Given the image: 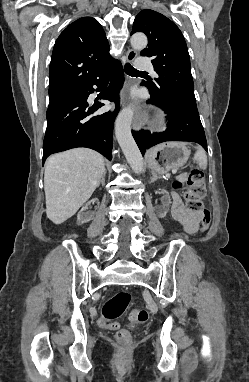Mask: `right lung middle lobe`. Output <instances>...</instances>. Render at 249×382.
<instances>
[{"instance_id": "right-lung-middle-lobe-1", "label": "right lung middle lobe", "mask_w": 249, "mask_h": 382, "mask_svg": "<svg viewBox=\"0 0 249 382\" xmlns=\"http://www.w3.org/2000/svg\"><path fill=\"white\" fill-rule=\"evenodd\" d=\"M65 100H66V99H65ZM65 100H63V101H65ZM63 101L56 102V103H50L48 109H51V108L56 107L57 105L61 104Z\"/></svg>"}]
</instances>
